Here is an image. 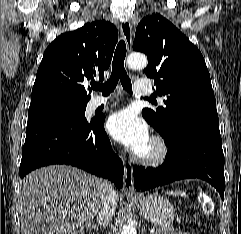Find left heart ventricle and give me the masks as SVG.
Listing matches in <instances>:
<instances>
[{
  "label": "left heart ventricle",
  "mask_w": 241,
  "mask_h": 234,
  "mask_svg": "<svg viewBox=\"0 0 241 234\" xmlns=\"http://www.w3.org/2000/svg\"><path fill=\"white\" fill-rule=\"evenodd\" d=\"M152 150H153V146H152L151 142H149L148 145L146 146V148L139 154L143 155V156L149 155L152 152Z\"/></svg>",
  "instance_id": "obj_1"
}]
</instances>
